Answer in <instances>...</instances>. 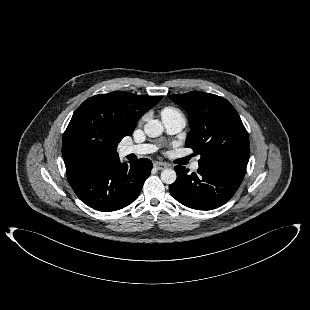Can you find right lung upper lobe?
Listing matches in <instances>:
<instances>
[{
  "label": "right lung upper lobe",
  "mask_w": 310,
  "mask_h": 310,
  "mask_svg": "<svg viewBox=\"0 0 310 310\" xmlns=\"http://www.w3.org/2000/svg\"><path fill=\"white\" fill-rule=\"evenodd\" d=\"M161 96H140L125 91L100 94L84 101L72 116L64 133L62 155L66 169L87 162L119 158L116 147L106 143V148L95 156H81L74 153L68 143L72 128L78 124H88L95 129L107 125L120 136H130L139 118L155 106Z\"/></svg>",
  "instance_id": "right-lung-upper-lobe-1"
}]
</instances>
